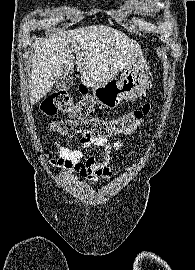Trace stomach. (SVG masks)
Here are the masks:
<instances>
[{
  "mask_svg": "<svg viewBox=\"0 0 195 270\" xmlns=\"http://www.w3.org/2000/svg\"><path fill=\"white\" fill-rule=\"evenodd\" d=\"M148 79L147 62L144 59L137 60L124 69L120 79L113 78L93 87V96L101 105L116 108L122 100H134L141 96L147 88Z\"/></svg>",
  "mask_w": 195,
  "mask_h": 270,
  "instance_id": "stomach-1",
  "label": "stomach"
}]
</instances>
